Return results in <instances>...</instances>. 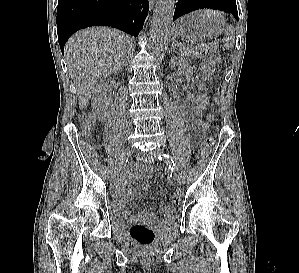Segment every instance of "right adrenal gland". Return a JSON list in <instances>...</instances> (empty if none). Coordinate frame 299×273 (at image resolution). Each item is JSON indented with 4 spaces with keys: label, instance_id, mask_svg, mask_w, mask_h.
Returning a JSON list of instances; mask_svg holds the SVG:
<instances>
[{
    "label": "right adrenal gland",
    "instance_id": "1",
    "mask_svg": "<svg viewBox=\"0 0 299 273\" xmlns=\"http://www.w3.org/2000/svg\"><path fill=\"white\" fill-rule=\"evenodd\" d=\"M126 61H127V59H126V56H125V58L123 59V63H122V66H121L120 70H122L123 66L126 65Z\"/></svg>",
    "mask_w": 299,
    "mask_h": 273
}]
</instances>
